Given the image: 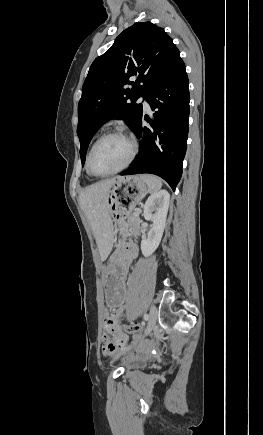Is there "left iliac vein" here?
I'll return each mask as SVG.
<instances>
[{"instance_id":"obj_1","label":"left iliac vein","mask_w":263,"mask_h":435,"mask_svg":"<svg viewBox=\"0 0 263 435\" xmlns=\"http://www.w3.org/2000/svg\"><path fill=\"white\" fill-rule=\"evenodd\" d=\"M157 317H158L157 309L155 306H152L150 309L148 325H147V328H146L145 333H144L145 336L148 335L151 332V330L154 328V326L156 325ZM132 347H133V345L125 348L123 351H121L117 355V357H119L120 355H122L126 351L130 350Z\"/></svg>"}]
</instances>
